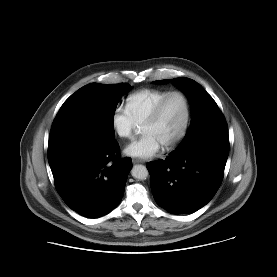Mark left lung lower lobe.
Listing matches in <instances>:
<instances>
[{"instance_id":"0a47b994","label":"left lung lower lobe","mask_w":277,"mask_h":277,"mask_svg":"<svg viewBox=\"0 0 277 277\" xmlns=\"http://www.w3.org/2000/svg\"><path fill=\"white\" fill-rule=\"evenodd\" d=\"M229 154L227 124L207 127L165 160L146 164L158 205L173 214L192 213L216 194Z\"/></svg>"}]
</instances>
